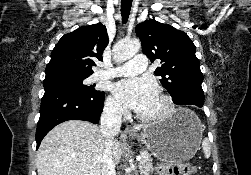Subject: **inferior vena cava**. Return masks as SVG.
<instances>
[{"mask_svg":"<svg viewBox=\"0 0 251 175\" xmlns=\"http://www.w3.org/2000/svg\"><path fill=\"white\" fill-rule=\"evenodd\" d=\"M123 113L124 109L119 105H107L101 113L100 131L106 137L101 175H116L114 161L110 153L114 141L113 135L120 131Z\"/></svg>","mask_w":251,"mask_h":175,"instance_id":"obj_1","label":"inferior vena cava"}]
</instances>
